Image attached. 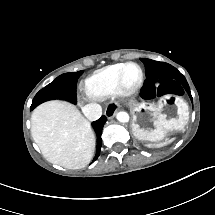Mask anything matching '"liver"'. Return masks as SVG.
<instances>
[{"label":"liver","mask_w":215,"mask_h":215,"mask_svg":"<svg viewBox=\"0 0 215 215\" xmlns=\"http://www.w3.org/2000/svg\"><path fill=\"white\" fill-rule=\"evenodd\" d=\"M31 135L45 158L67 169L85 167L95 151L90 122L64 101H48L33 110Z\"/></svg>","instance_id":"1"}]
</instances>
